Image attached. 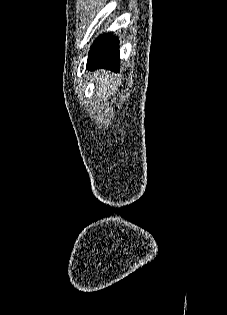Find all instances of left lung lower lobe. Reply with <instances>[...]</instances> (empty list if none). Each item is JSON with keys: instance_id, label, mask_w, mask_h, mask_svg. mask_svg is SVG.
<instances>
[{"instance_id": "obj_1", "label": "left lung lower lobe", "mask_w": 227, "mask_h": 315, "mask_svg": "<svg viewBox=\"0 0 227 315\" xmlns=\"http://www.w3.org/2000/svg\"><path fill=\"white\" fill-rule=\"evenodd\" d=\"M119 40L111 34H103L91 46L87 67L89 70L104 68L119 72Z\"/></svg>"}]
</instances>
